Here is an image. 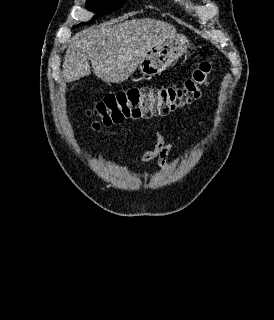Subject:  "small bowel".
<instances>
[{
	"label": "small bowel",
	"instance_id": "obj_1",
	"mask_svg": "<svg viewBox=\"0 0 274 320\" xmlns=\"http://www.w3.org/2000/svg\"><path fill=\"white\" fill-rule=\"evenodd\" d=\"M196 124L199 128L205 129V125L203 122L197 117ZM151 131L155 137V145L151 150L146 151L141 156L142 163H148L154 159L157 160L158 165L163 169L168 171L170 169V165L168 162V157L170 151L175 146V143L167 142L163 133L156 127H152ZM97 157L101 164H104V152L100 150L97 153ZM126 168V167H124Z\"/></svg>",
	"mask_w": 274,
	"mask_h": 320
}]
</instances>
